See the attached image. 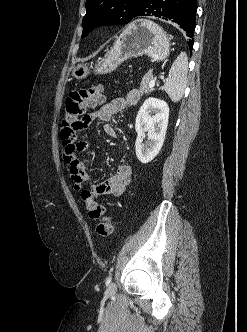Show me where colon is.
Returning <instances> with one entry per match:
<instances>
[{"mask_svg": "<svg viewBox=\"0 0 247 332\" xmlns=\"http://www.w3.org/2000/svg\"><path fill=\"white\" fill-rule=\"evenodd\" d=\"M105 100L104 87L102 85L73 91L65 100V115L63 119L62 139L67 141L77 130L86 125L85 112L95 108ZM89 217L97 220L96 232L100 236H109L113 232V222L105 212V207L96 202L88 189L81 193Z\"/></svg>", "mask_w": 247, "mask_h": 332, "instance_id": "5ec220e1", "label": "colon"}]
</instances>
